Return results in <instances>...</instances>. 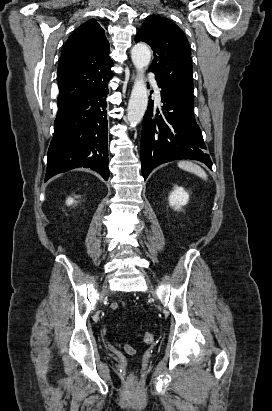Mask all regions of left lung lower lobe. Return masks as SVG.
I'll list each match as a JSON object with an SVG mask.
<instances>
[{
	"mask_svg": "<svg viewBox=\"0 0 272 411\" xmlns=\"http://www.w3.org/2000/svg\"><path fill=\"white\" fill-rule=\"evenodd\" d=\"M158 86L163 105L154 112L153 102H150L143 118L140 157L144 179L156 166L177 159L198 160L212 169L195 121L194 101Z\"/></svg>",
	"mask_w": 272,
	"mask_h": 411,
	"instance_id": "1",
	"label": "left lung lower lobe"
}]
</instances>
